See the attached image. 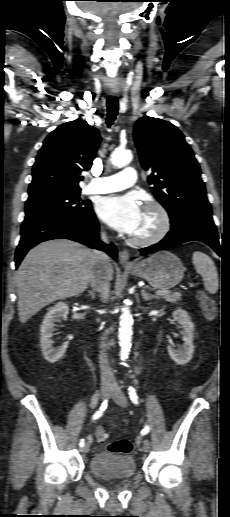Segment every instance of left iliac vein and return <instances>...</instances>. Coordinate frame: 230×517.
Wrapping results in <instances>:
<instances>
[{
  "label": "left iliac vein",
  "instance_id": "4c4485c4",
  "mask_svg": "<svg viewBox=\"0 0 230 517\" xmlns=\"http://www.w3.org/2000/svg\"><path fill=\"white\" fill-rule=\"evenodd\" d=\"M111 397L119 406H121V407L127 406V399H126L124 393L122 392L121 388L118 385H115L111 389ZM142 450L144 452H149V450H150V442L146 438H144L142 440Z\"/></svg>",
  "mask_w": 230,
  "mask_h": 517
}]
</instances>
